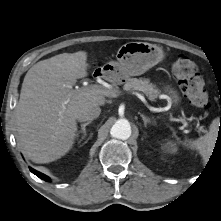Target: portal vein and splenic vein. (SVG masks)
I'll return each instance as SVG.
<instances>
[{"label":"portal vein and splenic vein","instance_id":"1","mask_svg":"<svg viewBox=\"0 0 221 221\" xmlns=\"http://www.w3.org/2000/svg\"><path fill=\"white\" fill-rule=\"evenodd\" d=\"M83 91L88 94H101V95L110 96V97L118 96L115 90H111V89H108L101 85H96V84L84 87ZM133 94H136L140 99L143 98V96L138 93H133ZM184 125H187L185 121H184Z\"/></svg>","mask_w":221,"mask_h":221}]
</instances>
